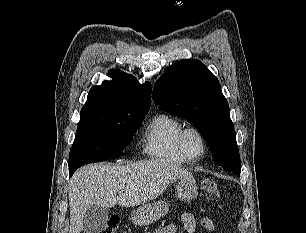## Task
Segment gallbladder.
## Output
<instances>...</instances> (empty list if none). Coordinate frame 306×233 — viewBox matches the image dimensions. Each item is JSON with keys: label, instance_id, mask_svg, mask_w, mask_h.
Segmentation results:
<instances>
[{"label": "gallbladder", "instance_id": "obj_1", "mask_svg": "<svg viewBox=\"0 0 306 233\" xmlns=\"http://www.w3.org/2000/svg\"><path fill=\"white\" fill-rule=\"evenodd\" d=\"M109 218L108 209L98 205L91 206L83 218V230L85 233H99L103 230Z\"/></svg>", "mask_w": 306, "mask_h": 233}]
</instances>
